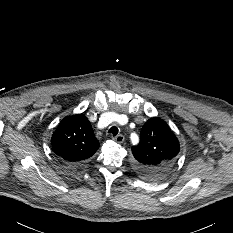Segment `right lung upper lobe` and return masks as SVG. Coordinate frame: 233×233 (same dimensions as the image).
Segmentation results:
<instances>
[{"mask_svg": "<svg viewBox=\"0 0 233 233\" xmlns=\"http://www.w3.org/2000/svg\"><path fill=\"white\" fill-rule=\"evenodd\" d=\"M51 144L54 153L69 164L88 159L99 147L92 126L83 114L64 118L52 135Z\"/></svg>", "mask_w": 233, "mask_h": 233, "instance_id": "right-lung-upper-lobe-1", "label": "right lung upper lobe"}]
</instances>
